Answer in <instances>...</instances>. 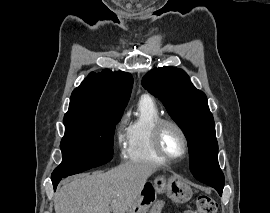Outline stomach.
<instances>
[{
	"instance_id": "1",
	"label": "stomach",
	"mask_w": 270,
	"mask_h": 213,
	"mask_svg": "<svg viewBox=\"0 0 270 213\" xmlns=\"http://www.w3.org/2000/svg\"><path fill=\"white\" fill-rule=\"evenodd\" d=\"M157 193H165L176 203H185L193 195L191 187L183 178L160 168L157 170L153 182L145 184L140 196L127 213H147L154 203Z\"/></svg>"
}]
</instances>
